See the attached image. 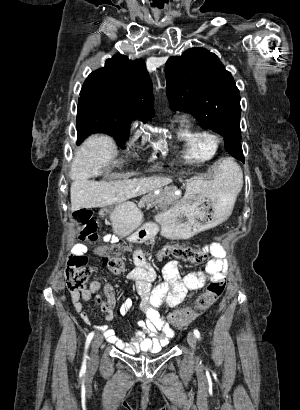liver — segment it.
<instances>
[{"mask_svg": "<svg viewBox=\"0 0 300 410\" xmlns=\"http://www.w3.org/2000/svg\"><path fill=\"white\" fill-rule=\"evenodd\" d=\"M117 147L106 135H92L79 147L71 167L73 182L70 188L71 210L105 207L161 188L170 178L152 176L119 181H93L90 177L100 173L114 158Z\"/></svg>", "mask_w": 300, "mask_h": 410, "instance_id": "liver-1", "label": "liver"}]
</instances>
